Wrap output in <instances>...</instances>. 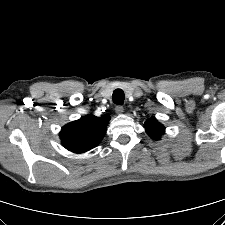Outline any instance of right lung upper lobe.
<instances>
[{"label":"right lung upper lobe","instance_id":"1","mask_svg":"<svg viewBox=\"0 0 225 225\" xmlns=\"http://www.w3.org/2000/svg\"><path fill=\"white\" fill-rule=\"evenodd\" d=\"M109 116L87 115L65 125L60 138L63 146L74 153H84L96 147L106 133Z\"/></svg>","mask_w":225,"mask_h":225}]
</instances>
